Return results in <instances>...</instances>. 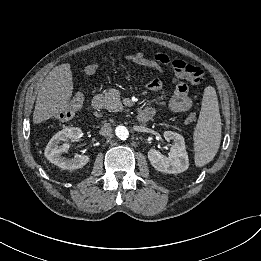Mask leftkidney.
<instances>
[{
	"mask_svg": "<svg viewBox=\"0 0 261 261\" xmlns=\"http://www.w3.org/2000/svg\"><path fill=\"white\" fill-rule=\"evenodd\" d=\"M166 141L173 140L168 157L162 155L158 150L151 148L148 151V159L152 166L162 173L177 174L188 169L189 159L185 148V141L182 135L165 131Z\"/></svg>",
	"mask_w": 261,
	"mask_h": 261,
	"instance_id": "5707ae66",
	"label": "left kidney"
}]
</instances>
